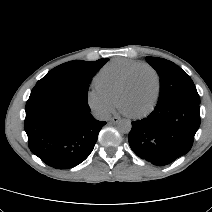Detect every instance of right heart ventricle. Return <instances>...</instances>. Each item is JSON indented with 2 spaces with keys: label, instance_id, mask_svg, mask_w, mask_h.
I'll return each mask as SVG.
<instances>
[{
  "label": "right heart ventricle",
  "instance_id": "right-heart-ventricle-1",
  "mask_svg": "<svg viewBox=\"0 0 212 212\" xmlns=\"http://www.w3.org/2000/svg\"><path fill=\"white\" fill-rule=\"evenodd\" d=\"M141 64L129 59H115L101 69L96 84L104 92L116 96L130 71Z\"/></svg>",
  "mask_w": 212,
  "mask_h": 212
}]
</instances>
